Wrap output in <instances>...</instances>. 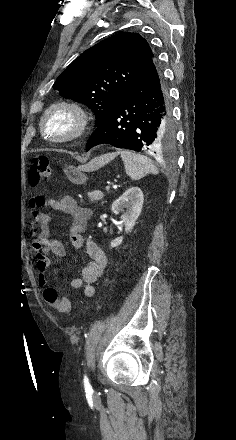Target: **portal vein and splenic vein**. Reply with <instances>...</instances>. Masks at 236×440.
<instances>
[{"mask_svg": "<svg viewBox=\"0 0 236 440\" xmlns=\"http://www.w3.org/2000/svg\"><path fill=\"white\" fill-rule=\"evenodd\" d=\"M106 190H107V191H109V190H110V186H109V185H108V186L106 187Z\"/></svg>", "mask_w": 236, "mask_h": 440, "instance_id": "18ae733b", "label": "portal vein and splenic vein"}]
</instances>
